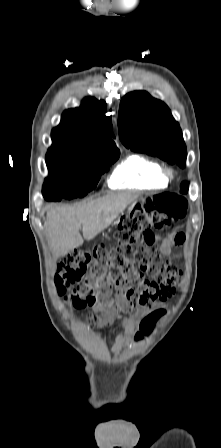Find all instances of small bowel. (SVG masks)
Segmentation results:
<instances>
[{
    "label": "small bowel",
    "mask_w": 221,
    "mask_h": 448,
    "mask_svg": "<svg viewBox=\"0 0 221 448\" xmlns=\"http://www.w3.org/2000/svg\"><path fill=\"white\" fill-rule=\"evenodd\" d=\"M185 240L186 234L182 231L170 233L162 240L160 251L162 254L168 255L173 246H181L184 244ZM109 288L110 287L106 288L105 291L98 296L96 303L92 307L95 312V315L92 317V324L98 330L111 323H115L120 327L121 331L112 347V351L118 353L129 343L131 337L135 333L137 338L141 337L143 332H137L139 319L153 314L150 315L141 307L132 306L121 288L117 290L115 298H111L112 292ZM130 311L134 312V318L126 320L120 316V312ZM157 312L159 313L154 321L162 315L161 311Z\"/></svg>",
    "instance_id": "c3829d8e"
}]
</instances>
